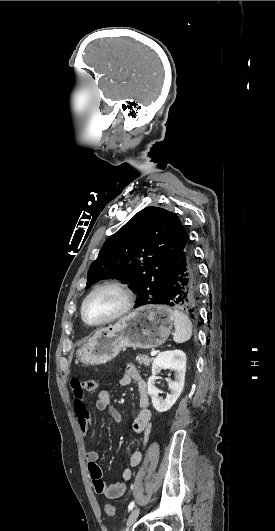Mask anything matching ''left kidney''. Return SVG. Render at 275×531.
I'll use <instances>...</instances> for the list:
<instances>
[{"label": "left kidney", "instance_id": "left-kidney-1", "mask_svg": "<svg viewBox=\"0 0 275 531\" xmlns=\"http://www.w3.org/2000/svg\"><path fill=\"white\" fill-rule=\"evenodd\" d=\"M161 369H171L176 371L175 381L166 379L169 389H171V395H167L166 399L158 397L160 391L155 387L156 379H162V377H156L160 373ZM186 373V355L183 351H164L159 353L152 365V377L148 379V395H150L154 409L159 413H165L169 411L172 405L176 403L178 397H180L184 383Z\"/></svg>", "mask_w": 275, "mask_h": 531}]
</instances>
